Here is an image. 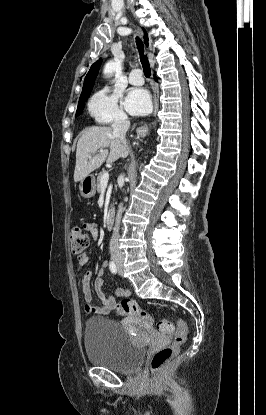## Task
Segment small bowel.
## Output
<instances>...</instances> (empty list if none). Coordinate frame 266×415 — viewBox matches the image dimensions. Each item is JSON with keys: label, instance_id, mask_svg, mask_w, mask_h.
<instances>
[{"label": "small bowel", "instance_id": "1", "mask_svg": "<svg viewBox=\"0 0 266 415\" xmlns=\"http://www.w3.org/2000/svg\"><path fill=\"white\" fill-rule=\"evenodd\" d=\"M85 229L90 231L93 237L97 236L98 226L94 222H89L85 224ZM89 258L87 254L82 253L77 256L76 266L79 269H83V267L88 263ZM108 267V262L104 261L101 265V268L98 270L97 277L94 280V289L96 291L97 297L99 298L101 305H93L91 303L92 300V288H91V281H92V272L90 270H85L82 272L81 283H82V294L85 301V312L87 314H96V315H108L110 314L115 306H116V299L117 298H124L130 295V292L126 289L118 288L115 290L114 295H108L104 292V275L105 270Z\"/></svg>", "mask_w": 266, "mask_h": 415}]
</instances>
